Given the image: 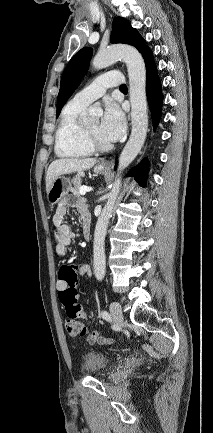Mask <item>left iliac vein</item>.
Here are the masks:
<instances>
[{"label":"left iliac vein","mask_w":213,"mask_h":433,"mask_svg":"<svg viewBox=\"0 0 213 433\" xmlns=\"http://www.w3.org/2000/svg\"><path fill=\"white\" fill-rule=\"evenodd\" d=\"M110 314H111V318L117 324H122V322H123V314H122L121 305L118 302H112L110 304Z\"/></svg>","instance_id":"obj_1"}]
</instances>
